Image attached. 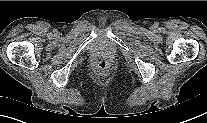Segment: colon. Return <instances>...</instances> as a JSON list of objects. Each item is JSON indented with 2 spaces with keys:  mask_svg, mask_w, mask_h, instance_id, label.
<instances>
[{
  "mask_svg": "<svg viewBox=\"0 0 207 123\" xmlns=\"http://www.w3.org/2000/svg\"><path fill=\"white\" fill-rule=\"evenodd\" d=\"M99 66L101 68H105L107 66V61L105 59H102L99 61Z\"/></svg>",
  "mask_w": 207,
  "mask_h": 123,
  "instance_id": "1",
  "label": "colon"
}]
</instances>
